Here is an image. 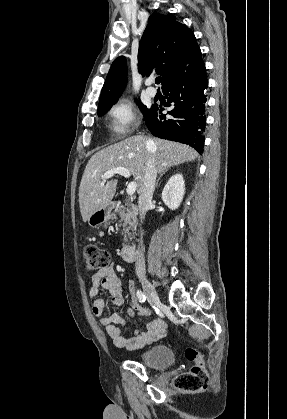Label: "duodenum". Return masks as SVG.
Masks as SVG:
<instances>
[{
	"instance_id": "1",
	"label": "duodenum",
	"mask_w": 287,
	"mask_h": 419,
	"mask_svg": "<svg viewBox=\"0 0 287 419\" xmlns=\"http://www.w3.org/2000/svg\"><path fill=\"white\" fill-rule=\"evenodd\" d=\"M121 256L126 262H133L137 258V249L132 244H127L123 246L121 250Z\"/></svg>"
}]
</instances>
